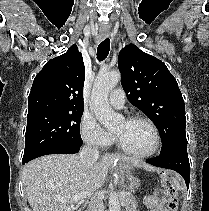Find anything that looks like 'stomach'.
Returning a JSON list of instances; mask_svg holds the SVG:
<instances>
[{
    "instance_id": "obj_1",
    "label": "stomach",
    "mask_w": 209,
    "mask_h": 211,
    "mask_svg": "<svg viewBox=\"0 0 209 211\" xmlns=\"http://www.w3.org/2000/svg\"><path fill=\"white\" fill-rule=\"evenodd\" d=\"M131 169L132 168L127 165H120L117 167L120 185L127 191L135 190L140 186V180L133 176Z\"/></svg>"
}]
</instances>
